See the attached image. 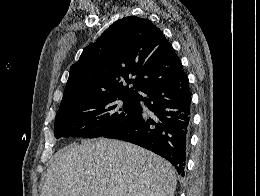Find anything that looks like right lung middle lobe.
<instances>
[{
  "label": "right lung middle lobe",
  "mask_w": 260,
  "mask_h": 196,
  "mask_svg": "<svg viewBox=\"0 0 260 196\" xmlns=\"http://www.w3.org/2000/svg\"><path fill=\"white\" fill-rule=\"evenodd\" d=\"M140 117L137 96L98 94L58 110L54 135L56 138H96L132 123Z\"/></svg>",
  "instance_id": "obj_1"
}]
</instances>
